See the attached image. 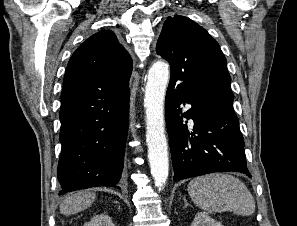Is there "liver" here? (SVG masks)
I'll list each match as a JSON object with an SVG mask.
<instances>
[{"label":"liver","instance_id":"liver-1","mask_svg":"<svg viewBox=\"0 0 297 226\" xmlns=\"http://www.w3.org/2000/svg\"><path fill=\"white\" fill-rule=\"evenodd\" d=\"M96 199L94 192L83 191L69 195L60 204V212L63 215L76 214L92 205Z\"/></svg>","mask_w":297,"mask_h":226}]
</instances>
